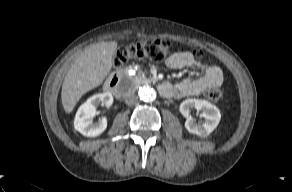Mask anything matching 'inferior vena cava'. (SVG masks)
<instances>
[{
  "instance_id": "inferior-vena-cava-1",
  "label": "inferior vena cava",
  "mask_w": 292,
  "mask_h": 192,
  "mask_svg": "<svg viewBox=\"0 0 292 192\" xmlns=\"http://www.w3.org/2000/svg\"><path fill=\"white\" fill-rule=\"evenodd\" d=\"M137 101H138V97L134 93H129L125 97V103L129 106L136 104Z\"/></svg>"
}]
</instances>
